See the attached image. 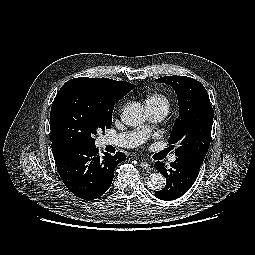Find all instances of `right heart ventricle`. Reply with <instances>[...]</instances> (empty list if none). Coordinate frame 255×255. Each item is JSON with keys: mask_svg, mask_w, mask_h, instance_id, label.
Masks as SVG:
<instances>
[{"mask_svg": "<svg viewBox=\"0 0 255 255\" xmlns=\"http://www.w3.org/2000/svg\"><path fill=\"white\" fill-rule=\"evenodd\" d=\"M145 103L147 108L162 107L168 109L169 107V101L167 97L161 93L150 94L146 98Z\"/></svg>", "mask_w": 255, "mask_h": 255, "instance_id": "obj_1", "label": "right heart ventricle"}]
</instances>
